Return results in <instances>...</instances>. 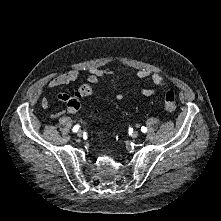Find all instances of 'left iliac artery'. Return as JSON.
Listing matches in <instances>:
<instances>
[{"instance_id":"1","label":"left iliac artery","mask_w":221,"mask_h":221,"mask_svg":"<svg viewBox=\"0 0 221 221\" xmlns=\"http://www.w3.org/2000/svg\"><path fill=\"white\" fill-rule=\"evenodd\" d=\"M141 131H142L143 133H145V132H147V128H146V127H141Z\"/></svg>"}]
</instances>
